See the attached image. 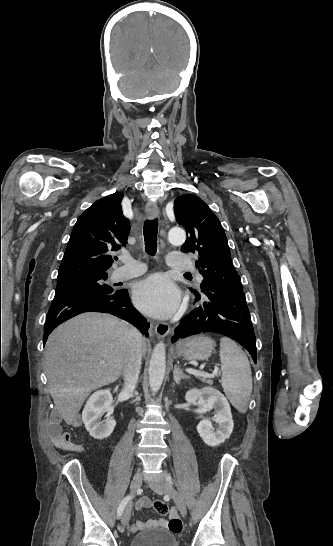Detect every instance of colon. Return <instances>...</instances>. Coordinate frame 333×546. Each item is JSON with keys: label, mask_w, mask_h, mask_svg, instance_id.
Segmentation results:
<instances>
[{"label": "colon", "mask_w": 333, "mask_h": 546, "mask_svg": "<svg viewBox=\"0 0 333 546\" xmlns=\"http://www.w3.org/2000/svg\"><path fill=\"white\" fill-rule=\"evenodd\" d=\"M154 510L160 515H166L169 512V507L162 500H155L153 503Z\"/></svg>", "instance_id": "colon-1"}]
</instances>
